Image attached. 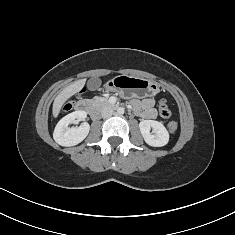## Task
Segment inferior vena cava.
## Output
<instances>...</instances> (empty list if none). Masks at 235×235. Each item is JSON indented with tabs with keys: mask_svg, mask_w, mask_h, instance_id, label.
<instances>
[{
	"mask_svg": "<svg viewBox=\"0 0 235 235\" xmlns=\"http://www.w3.org/2000/svg\"><path fill=\"white\" fill-rule=\"evenodd\" d=\"M113 115V109L110 107H105L101 111L102 118H109Z\"/></svg>",
	"mask_w": 235,
	"mask_h": 235,
	"instance_id": "1",
	"label": "inferior vena cava"
}]
</instances>
